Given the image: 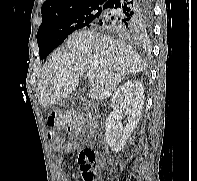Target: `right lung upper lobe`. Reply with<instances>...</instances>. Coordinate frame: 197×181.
Listing matches in <instances>:
<instances>
[{"label":"right lung upper lobe","mask_w":197,"mask_h":181,"mask_svg":"<svg viewBox=\"0 0 197 181\" xmlns=\"http://www.w3.org/2000/svg\"><path fill=\"white\" fill-rule=\"evenodd\" d=\"M108 0H46L42 6V19L84 6H103Z\"/></svg>","instance_id":"right-lung-upper-lobe-1"}]
</instances>
